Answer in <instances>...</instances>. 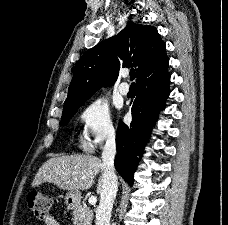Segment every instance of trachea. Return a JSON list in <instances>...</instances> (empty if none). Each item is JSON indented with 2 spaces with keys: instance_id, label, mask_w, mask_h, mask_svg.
<instances>
[{
  "instance_id": "obj_1",
  "label": "trachea",
  "mask_w": 228,
  "mask_h": 225,
  "mask_svg": "<svg viewBox=\"0 0 228 225\" xmlns=\"http://www.w3.org/2000/svg\"><path fill=\"white\" fill-rule=\"evenodd\" d=\"M135 76H136L135 70H131V71H130V80H134ZM131 87H135V84L132 83V84H131Z\"/></svg>"
}]
</instances>
